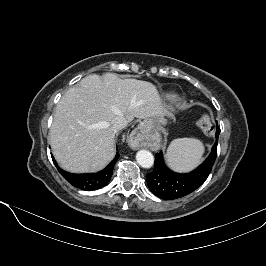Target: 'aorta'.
I'll list each match as a JSON object with an SVG mask.
<instances>
[{"label": "aorta", "instance_id": "aorta-1", "mask_svg": "<svg viewBox=\"0 0 266 266\" xmlns=\"http://www.w3.org/2000/svg\"><path fill=\"white\" fill-rule=\"evenodd\" d=\"M137 163L143 168H151L154 164V156L147 150H140L136 154Z\"/></svg>", "mask_w": 266, "mask_h": 266}]
</instances>
